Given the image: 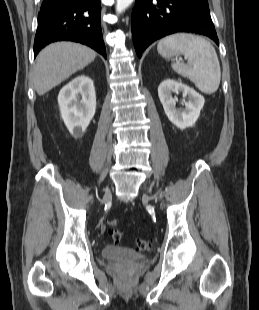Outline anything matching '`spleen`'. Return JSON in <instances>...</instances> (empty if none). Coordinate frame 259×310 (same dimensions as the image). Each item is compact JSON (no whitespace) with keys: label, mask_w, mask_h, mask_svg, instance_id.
Segmentation results:
<instances>
[{"label":"spleen","mask_w":259,"mask_h":310,"mask_svg":"<svg viewBox=\"0 0 259 310\" xmlns=\"http://www.w3.org/2000/svg\"><path fill=\"white\" fill-rule=\"evenodd\" d=\"M158 53L164 58L183 54L187 64L173 63L172 69L188 78L205 94L215 93L221 80L220 63L214 47L205 38L188 33H176L161 39Z\"/></svg>","instance_id":"spleen-1"}]
</instances>
